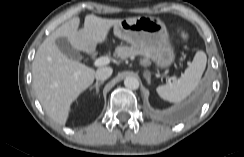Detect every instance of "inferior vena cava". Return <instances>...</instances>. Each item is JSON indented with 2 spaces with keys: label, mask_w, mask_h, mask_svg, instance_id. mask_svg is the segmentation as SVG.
<instances>
[{
  "label": "inferior vena cava",
  "mask_w": 244,
  "mask_h": 157,
  "mask_svg": "<svg viewBox=\"0 0 244 157\" xmlns=\"http://www.w3.org/2000/svg\"><path fill=\"white\" fill-rule=\"evenodd\" d=\"M112 72H113V70L110 67L99 68V69H97V71L95 73V78L97 80L104 81L112 75Z\"/></svg>",
  "instance_id": "inferior-vena-cava-1"
}]
</instances>
